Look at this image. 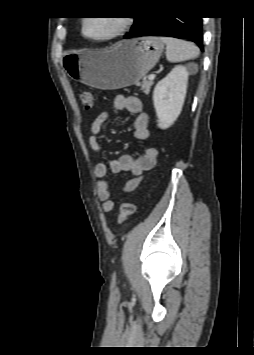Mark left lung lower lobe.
I'll return each instance as SVG.
<instances>
[{
    "label": "left lung lower lobe",
    "instance_id": "1",
    "mask_svg": "<svg viewBox=\"0 0 254 355\" xmlns=\"http://www.w3.org/2000/svg\"><path fill=\"white\" fill-rule=\"evenodd\" d=\"M202 17L143 16L137 17L124 38L138 36H169L189 39L203 50Z\"/></svg>",
    "mask_w": 254,
    "mask_h": 355
}]
</instances>
